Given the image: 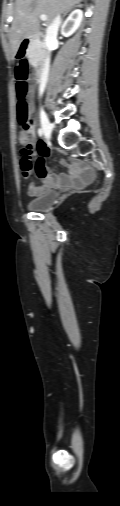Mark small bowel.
<instances>
[{"mask_svg":"<svg viewBox=\"0 0 120 506\" xmlns=\"http://www.w3.org/2000/svg\"><path fill=\"white\" fill-rule=\"evenodd\" d=\"M31 130L36 137L33 125ZM37 149L39 156L36 159H33L32 157L29 159H23L20 157L23 178L28 180L30 177L35 175L43 182L42 185L29 184L28 194L30 196H39L47 189L54 186L81 187L93 179V171L80 161L62 164L69 172V176H56L51 174L45 164V158L49 155V150L46 144L40 141L37 144Z\"/></svg>","mask_w":120,"mask_h":506,"instance_id":"c3829d8e","label":"small bowel"}]
</instances>
